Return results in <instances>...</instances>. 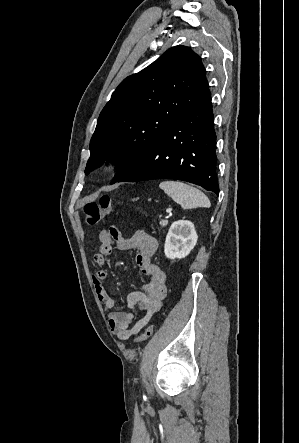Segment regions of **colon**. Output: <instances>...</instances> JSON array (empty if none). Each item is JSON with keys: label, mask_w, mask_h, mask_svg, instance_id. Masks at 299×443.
<instances>
[{"label": "colon", "mask_w": 299, "mask_h": 443, "mask_svg": "<svg viewBox=\"0 0 299 443\" xmlns=\"http://www.w3.org/2000/svg\"><path fill=\"white\" fill-rule=\"evenodd\" d=\"M112 211V200L108 196H103L99 202H89L84 205L83 213L85 223L89 226L97 225L106 215ZM154 326L148 325L142 333L135 338V342L139 343L147 340L152 336Z\"/></svg>", "instance_id": "colon-1"}]
</instances>
